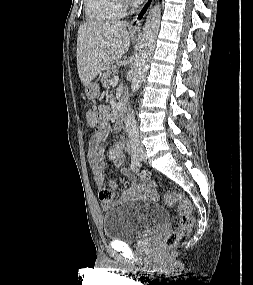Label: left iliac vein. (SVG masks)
<instances>
[{"mask_svg": "<svg viewBox=\"0 0 253 285\" xmlns=\"http://www.w3.org/2000/svg\"><path fill=\"white\" fill-rule=\"evenodd\" d=\"M137 155H138V158L143 161V162H146L147 160V157H146V151H145V148L142 144H138L137 146Z\"/></svg>", "mask_w": 253, "mask_h": 285, "instance_id": "obj_1", "label": "left iliac vein"}]
</instances>
